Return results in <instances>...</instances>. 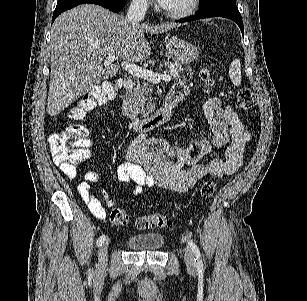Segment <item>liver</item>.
Returning <instances> with one entry per match:
<instances>
[{"mask_svg":"<svg viewBox=\"0 0 307 301\" xmlns=\"http://www.w3.org/2000/svg\"><path fill=\"white\" fill-rule=\"evenodd\" d=\"M176 22L132 24L98 4H79L55 18L50 34V84L47 112L59 114L101 80L116 76L123 62H143L151 48L144 32L158 34L176 28ZM106 56L114 64L103 68Z\"/></svg>","mask_w":307,"mask_h":301,"instance_id":"obj_1","label":"liver"}]
</instances>
